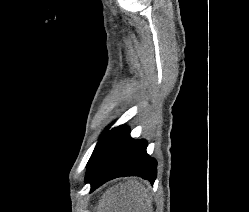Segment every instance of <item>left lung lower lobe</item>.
<instances>
[{
	"label": "left lung lower lobe",
	"instance_id": "left-lung-lower-lobe-1",
	"mask_svg": "<svg viewBox=\"0 0 249 212\" xmlns=\"http://www.w3.org/2000/svg\"><path fill=\"white\" fill-rule=\"evenodd\" d=\"M146 147L147 141L132 139L125 126L106 133L87 164L85 181L91 184V192L121 176H140L153 184L157 162L148 156Z\"/></svg>",
	"mask_w": 249,
	"mask_h": 212
}]
</instances>
